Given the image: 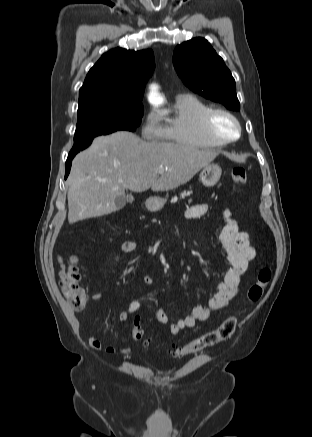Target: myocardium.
Returning <instances> with one entry per match:
<instances>
[{
	"instance_id": "myocardium-1",
	"label": "myocardium",
	"mask_w": 312,
	"mask_h": 437,
	"mask_svg": "<svg viewBox=\"0 0 312 437\" xmlns=\"http://www.w3.org/2000/svg\"><path fill=\"white\" fill-rule=\"evenodd\" d=\"M217 115L229 117L236 126V135L231 138H224L217 134L213 129V121ZM202 129L205 135L218 145H227L237 141L241 136V124L238 118L229 110L224 108H211L202 117Z\"/></svg>"
}]
</instances>
